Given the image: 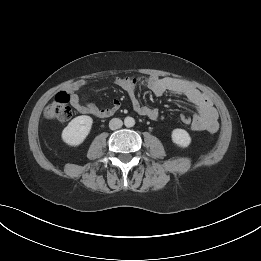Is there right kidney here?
Masks as SVG:
<instances>
[{"mask_svg":"<svg viewBox=\"0 0 261 261\" xmlns=\"http://www.w3.org/2000/svg\"><path fill=\"white\" fill-rule=\"evenodd\" d=\"M93 119L81 115L72 119L62 131V140L70 146H78L90 133Z\"/></svg>","mask_w":261,"mask_h":261,"instance_id":"right-kidney-1","label":"right kidney"}]
</instances>
